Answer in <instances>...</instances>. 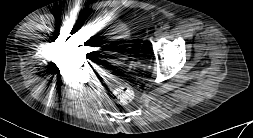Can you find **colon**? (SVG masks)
<instances>
[{"label":"colon","mask_w":253,"mask_h":138,"mask_svg":"<svg viewBox=\"0 0 253 138\" xmlns=\"http://www.w3.org/2000/svg\"><path fill=\"white\" fill-rule=\"evenodd\" d=\"M134 97L133 88L130 85L118 86L113 92V99L119 104H128Z\"/></svg>","instance_id":"obj_1"}]
</instances>
